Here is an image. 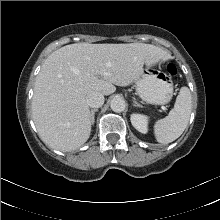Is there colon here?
Listing matches in <instances>:
<instances>
[{"mask_svg":"<svg viewBox=\"0 0 220 220\" xmlns=\"http://www.w3.org/2000/svg\"><path fill=\"white\" fill-rule=\"evenodd\" d=\"M167 70L173 76H175L177 73L176 67L173 64H168Z\"/></svg>","mask_w":220,"mask_h":220,"instance_id":"5ec220e1","label":"colon"}]
</instances>
